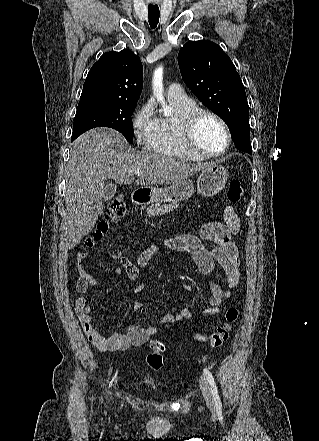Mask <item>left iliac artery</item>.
Segmentation results:
<instances>
[{"mask_svg":"<svg viewBox=\"0 0 319 441\" xmlns=\"http://www.w3.org/2000/svg\"><path fill=\"white\" fill-rule=\"evenodd\" d=\"M203 372H204V375L206 376V379H207V381H208V383H209V385L211 387V391H212V394H213V399H214V402H215V407H216L217 410H221L222 409V404H221V400H220V397H219V394H218V391H217V387H216L213 375L206 368H204Z\"/></svg>","mask_w":319,"mask_h":441,"instance_id":"1","label":"left iliac artery"}]
</instances>
